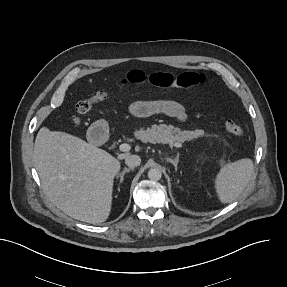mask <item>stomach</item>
I'll return each mask as SVG.
<instances>
[{
    "instance_id": "stomach-1",
    "label": "stomach",
    "mask_w": 287,
    "mask_h": 287,
    "mask_svg": "<svg viewBox=\"0 0 287 287\" xmlns=\"http://www.w3.org/2000/svg\"><path fill=\"white\" fill-rule=\"evenodd\" d=\"M96 127L107 129V123L105 121L101 120V121L94 124V128H96Z\"/></svg>"
}]
</instances>
